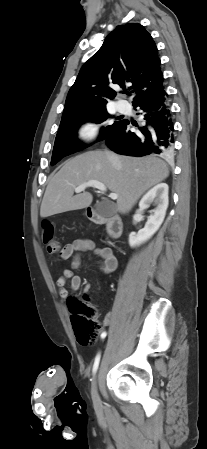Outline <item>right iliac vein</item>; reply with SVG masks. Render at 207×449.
Wrapping results in <instances>:
<instances>
[{
  "label": "right iliac vein",
  "mask_w": 207,
  "mask_h": 449,
  "mask_svg": "<svg viewBox=\"0 0 207 449\" xmlns=\"http://www.w3.org/2000/svg\"><path fill=\"white\" fill-rule=\"evenodd\" d=\"M91 396H92L94 404L96 406L100 405V397L98 394V375L97 374L94 376L93 381H92Z\"/></svg>",
  "instance_id": "right-iliac-vein-1"
}]
</instances>
